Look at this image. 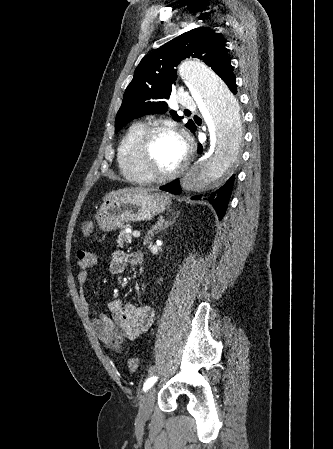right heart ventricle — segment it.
I'll list each match as a JSON object with an SVG mask.
<instances>
[{"mask_svg":"<svg viewBox=\"0 0 333 449\" xmlns=\"http://www.w3.org/2000/svg\"><path fill=\"white\" fill-rule=\"evenodd\" d=\"M145 128L146 124L143 122L131 124L123 135L117 150L118 165L123 176L138 183L150 182L140 171L137 158L138 142Z\"/></svg>","mask_w":333,"mask_h":449,"instance_id":"e07e8e85","label":"right heart ventricle"}]
</instances>
